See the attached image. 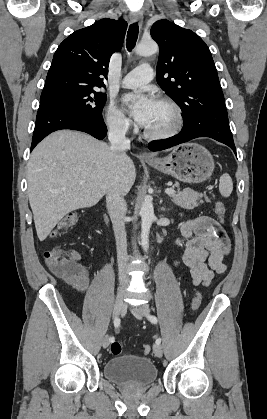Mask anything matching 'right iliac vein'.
I'll return each instance as SVG.
<instances>
[{
  "label": "right iliac vein",
  "mask_w": 267,
  "mask_h": 419,
  "mask_svg": "<svg viewBox=\"0 0 267 419\" xmlns=\"http://www.w3.org/2000/svg\"><path fill=\"white\" fill-rule=\"evenodd\" d=\"M124 295L122 293L118 294L114 306H113V318H116L119 316L120 312L122 311L124 302H123ZM102 346L104 348H107L109 346V336L106 335L102 341Z\"/></svg>",
  "instance_id": "1"
}]
</instances>
